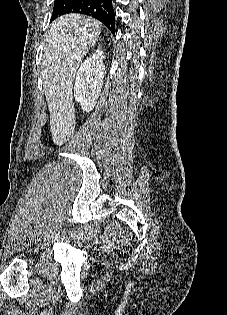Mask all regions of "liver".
I'll list each match as a JSON object with an SVG mask.
<instances>
[{
	"label": "liver",
	"instance_id": "obj_1",
	"mask_svg": "<svg viewBox=\"0 0 227 315\" xmlns=\"http://www.w3.org/2000/svg\"><path fill=\"white\" fill-rule=\"evenodd\" d=\"M101 27L92 17L72 13L57 18L46 36L41 75L50 112V132L56 145L74 135L73 82Z\"/></svg>",
	"mask_w": 227,
	"mask_h": 315
}]
</instances>
